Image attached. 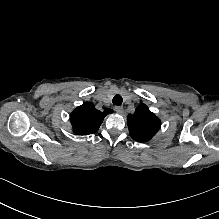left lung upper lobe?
Returning <instances> with one entry per match:
<instances>
[{"mask_svg":"<svg viewBox=\"0 0 219 219\" xmlns=\"http://www.w3.org/2000/svg\"><path fill=\"white\" fill-rule=\"evenodd\" d=\"M127 124L133 139L146 142L160 129L161 121L146 105H140L133 115H128Z\"/></svg>","mask_w":219,"mask_h":219,"instance_id":"obj_1","label":"left lung upper lobe"}]
</instances>
